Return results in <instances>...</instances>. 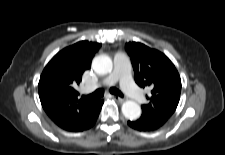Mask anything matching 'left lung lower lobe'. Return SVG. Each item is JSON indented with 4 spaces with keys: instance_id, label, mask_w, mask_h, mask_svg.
<instances>
[{
    "instance_id": "obj_1",
    "label": "left lung lower lobe",
    "mask_w": 225,
    "mask_h": 155,
    "mask_svg": "<svg viewBox=\"0 0 225 155\" xmlns=\"http://www.w3.org/2000/svg\"><path fill=\"white\" fill-rule=\"evenodd\" d=\"M168 119L161 116L140 117L135 121H128V125L138 131H154L164 125Z\"/></svg>"
}]
</instances>
